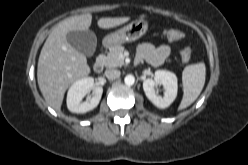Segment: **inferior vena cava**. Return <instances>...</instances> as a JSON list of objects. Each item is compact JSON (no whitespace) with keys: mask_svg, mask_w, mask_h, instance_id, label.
<instances>
[{"mask_svg":"<svg viewBox=\"0 0 248 165\" xmlns=\"http://www.w3.org/2000/svg\"><path fill=\"white\" fill-rule=\"evenodd\" d=\"M121 72L119 70L116 69H112V70H106L105 71V76L109 79V80H114L120 77Z\"/></svg>","mask_w":248,"mask_h":165,"instance_id":"602c4592","label":"inferior vena cava"}]
</instances>
